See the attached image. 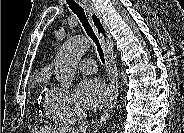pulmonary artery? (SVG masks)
<instances>
[{
    "label": "pulmonary artery",
    "mask_w": 184,
    "mask_h": 133,
    "mask_svg": "<svg viewBox=\"0 0 184 133\" xmlns=\"http://www.w3.org/2000/svg\"><path fill=\"white\" fill-rule=\"evenodd\" d=\"M79 69L82 73L94 74L97 71V65L93 59L86 58L79 63Z\"/></svg>",
    "instance_id": "e3ab8cb5"
}]
</instances>
